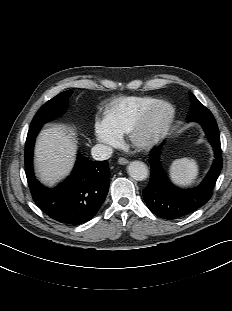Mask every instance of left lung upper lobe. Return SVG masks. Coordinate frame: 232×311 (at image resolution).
<instances>
[{
    "label": "left lung upper lobe",
    "mask_w": 232,
    "mask_h": 311,
    "mask_svg": "<svg viewBox=\"0 0 232 311\" xmlns=\"http://www.w3.org/2000/svg\"><path fill=\"white\" fill-rule=\"evenodd\" d=\"M190 98L192 100V104L190 107L188 118L211 113L204 105L199 102V100L191 92Z\"/></svg>",
    "instance_id": "obj_1"
}]
</instances>
